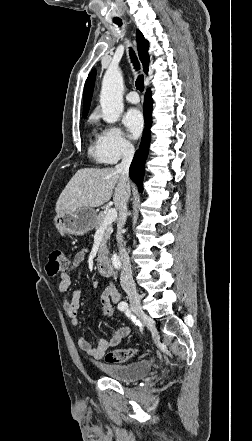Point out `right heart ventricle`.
Segmentation results:
<instances>
[{
    "mask_svg": "<svg viewBox=\"0 0 252 441\" xmlns=\"http://www.w3.org/2000/svg\"><path fill=\"white\" fill-rule=\"evenodd\" d=\"M92 121H94V120L92 119ZM98 136H95V141H93V143L90 145L89 152L97 160L101 161L99 158V152H98Z\"/></svg>",
    "mask_w": 252,
    "mask_h": 441,
    "instance_id": "1",
    "label": "right heart ventricle"
}]
</instances>
